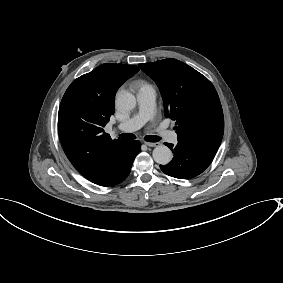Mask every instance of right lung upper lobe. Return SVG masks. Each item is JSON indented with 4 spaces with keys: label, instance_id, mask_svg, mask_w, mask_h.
Instances as JSON below:
<instances>
[{
    "label": "right lung upper lobe",
    "instance_id": "obj_1",
    "mask_svg": "<svg viewBox=\"0 0 283 283\" xmlns=\"http://www.w3.org/2000/svg\"><path fill=\"white\" fill-rule=\"evenodd\" d=\"M139 71L135 65L102 64L74 80L59 108L58 133L68 159L88 180L117 166L130 141L112 140L104 132L114 114L118 88Z\"/></svg>",
    "mask_w": 283,
    "mask_h": 283
}]
</instances>
